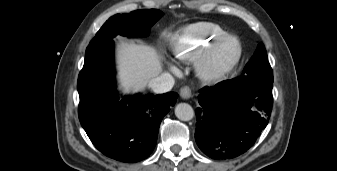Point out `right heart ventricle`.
I'll list each match as a JSON object with an SVG mask.
<instances>
[{
	"mask_svg": "<svg viewBox=\"0 0 337 171\" xmlns=\"http://www.w3.org/2000/svg\"><path fill=\"white\" fill-rule=\"evenodd\" d=\"M227 34L225 28L213 22L192 23L179 31L171 49L178 60L193 62L211 42Z\"/></svg>",
	"mask_w": 337,
	"mask_h": 171,
	"instance_id": "e07e8e85",
	"label": "right heart ventricle"
}]
</instances>
